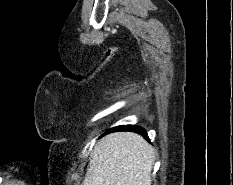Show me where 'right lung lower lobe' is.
Segmentation results:
<instances>
[{
	"instance_id": "right-lung-lower-lobe-1",
	"label": "right lung lower lobe",
	"mask_w": 233,
	"mask_h": 185,
	"mask_svg": "<svg viewBox=\"0 0 233 185\" xmlns=\"http://www.w3.org/2000/svg\"><path fill=\"white\" fill-rule=\"evenodd\" d=\"M111 131H133V132H136L138 134H141L143 137L148 139V136L146 134L145 129H143L142 127H139V126H132V125L117 126V127H114V128L109 130V132H111Z\"/></svg>"
}]
</instances>
